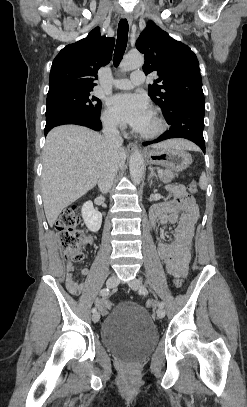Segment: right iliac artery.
<instances>
[{
	"instance_id": "1",
	"label": "right iliac artery",
	"mask_w": 247,
	"mask_h": 407,
	"mask_svg": "<svg viewBox=\"0 0 247 407\" xmlns=\"http://www.w3.org/2000/svg\"><path fill=\"white\" fill-rule=\"evenodd\" d=\"M110 288L109 287H107V288H103L102 290H101V292H100V294L103 296V297H106V296H108L109 294H110ZM97 312V309L96 308H92V313H96Z\"/></svg>"
}]
</instances>
